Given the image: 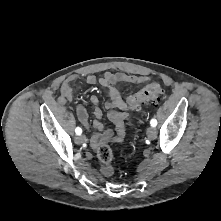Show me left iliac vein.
Returning a JSON list of instances; mask_svg holds the SVG:
<instances>
[{"instance_id": "1", "label": "left iliac vein", "mask_w": 221, "mask_h": 221, "mask_svg": "<svg viewBox=\"0 0 221 221\" xmlns=\"http://www.w3.org/2000/svg\"><path fill=\"white\" fill-rule=\"evenodd\" d=\"M147 137L150 139V140H154L157 136V130L154 128V127H149L147 129Z\"/></svg>"}]
</instances>
